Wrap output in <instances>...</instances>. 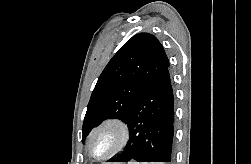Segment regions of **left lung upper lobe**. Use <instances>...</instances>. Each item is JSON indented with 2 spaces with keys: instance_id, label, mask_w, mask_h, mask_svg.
Returning <instances> with one entry per match:
<instances>
[{
  "instance_id": "1",
  "label": "left lung upper lobe",
  "mask_w": 251,
  "mask_h": 164,
  "mask_svg": "<svg viewBox=\"0 0 251 164\" xmlns=\"http://www.w3.org/2000/svg\"><path fill=\"white\" fill-rule=\"evenodd\" d=\"M169 60L158 39L138 33L112 57L101 73L88 103L83 123V139L106 118L127 122L130 111L146 86Z\"/></svg>"
}]
</instances>
